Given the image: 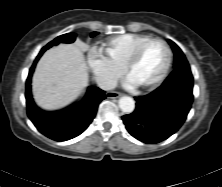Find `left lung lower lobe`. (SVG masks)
Segmentation results:
<instances>
[{
  "instance_id": "left-lung-lower-lobe-1",
  "label": "left lung lower lobe",
  "mask_w": 222,
  "mask_h": 187,
  "mask_svg": "<svg viewBox=\"0 0 222 187\" xmlns=\"http://www.w3.org/2000/svg\"><path fill=\"white\" fill-rule=\"evenodd\" d=\"M190 67L173 71L153 92L135 97L136 107L122 120L128 132L141 142L154 144L176 133L193 102Z\"/></svg>"
}]
</instances>
